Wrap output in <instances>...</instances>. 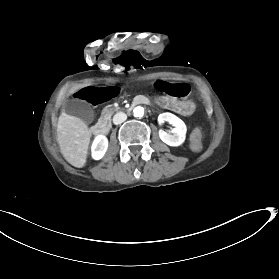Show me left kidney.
<instances>
[{
	"instance_id": "obj_1",
	"label": "left kidney",
	"mask_w": 279,
	"mask_h": 279,
	"mask_svg": "<svg viewBox=\"0 0 279 279\" xmlns=\"http://www.w3.org/2000/svg\"><path fill=\"white\" fill-rule=\"evenodd\" d=\"M158 120L160 123L168 122L174 126L172 132L174 135H170L165 131H160V139L171 147H178L182 145L186 138L187 126L180 118L171 113H162L159 115Z\"/></svg>"
}]
</instances>
